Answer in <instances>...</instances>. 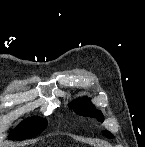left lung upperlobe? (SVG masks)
<instances>
[{
	"label": "left lung upper lobe",
	"instance_id": "obj_1",
	"mask_svg": "<svg viewBox=\"0 0 145 147\" xmlns=\"http://www.w3.org/2000/svg\"><path fill=\"white\" fill-rule=\"evenodd\" d=\"M70 108L79 114L86 117H96L99 121H103V115L101 111L96 110L92 104L89 102V99H77L69 105ZM104 134L108 138H112L113 136L110 135L107 131H104Z\"/></svg>",
	"mask_w": 145,
	"mask_h": 147
}]
</instances>
